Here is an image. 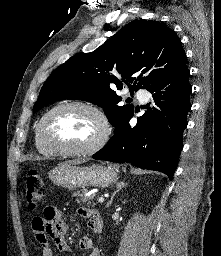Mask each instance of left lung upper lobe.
Listing matches in <instances>:
<instances>
[{
	"mask_svg": "<svg viewBox=\"0 0 221 256\" xmlns=\"http://www.w3.org/2000/svg\"><path fill=\"white\" fill-rule=\"evenodd\" d=\"M175 32L158 21L126 24L90 53H77L55 69L41 88L33 112L59 100L89 101L104 108L114 127L131 118L133 105L118 106L115 89L149 90L186 66ZM128 82L133 83L131 86Z\"/></svg>",
	"mask_w": 221,
	"mask_h": 256,
	"instance_id": "obj_1",
	"label": "left lung upper lobe"
}]
</instances>
